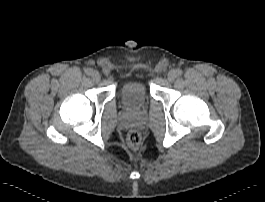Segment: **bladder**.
<instances>
[{
    "instance_id": "31cf9c89",
    "label": "bladder",
    "mask_w": 265,
    "mask_h": 202,
    "mask_svg": "<svg viewBox=\"0 0 265 202\" xmlns=\"http://www.w3.org/2000/svg\"><path fill=\"white\" fill-rule=\"evenodd\" d=\"M150 91L143 80L124 82L119 90V100L127 110H135L149 101Z\"/></svg>"
}]
</instances>
